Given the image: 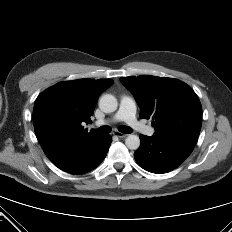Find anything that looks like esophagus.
<instances>
[{
  "label": "esophagus",
  "mask_w": 232,
  "mask_h": 232,
  "mask_svg": "<svg viewBox=\"0 0 232 232\" xmlns=\"http://www.w3.org/2000/svg\"><path fill=\"white\" fill-rule=\"evenodd\" d=\"M113 135H114V136H117V137H119V138H125V137H127V134H123V133H121V132H119V131H114V132H113Z\"/></svg>",
  "instance_id": "esophagus-1"
}]
</instances>
